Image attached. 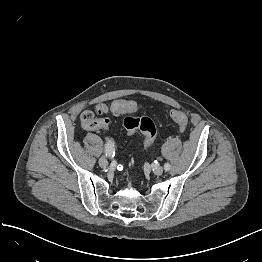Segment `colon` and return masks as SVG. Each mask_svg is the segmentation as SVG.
Segmentation results:
<instances>
[{"label":"colon","mask_w":262,"mask_h":262,"mask_svg":"<svg viewBox=\"0 0 262 262\" xmlns=\"http://www.w3.org/2000/svg\"><path fill=\"white\" fill-rule=\"evenodd\" d=\"M138 110V104L130 100H115L107 108V111L114 115L125 114L126 117L123 120V127L127 134L132 135L137 131L142 132L144 135V148L149 149L156 138V126L150 118L138 116ZM97 112L102 113L103 107L98 106ZM169 115L177 124L179 130L185 132L188 126L187 115L177 109H170ZM81 123L83 128L87 130H96L106 126L109 123V119L106 117H96L92 111H84L81 114Z\"/></svg>","instance_id":"1"}]
</instances>
